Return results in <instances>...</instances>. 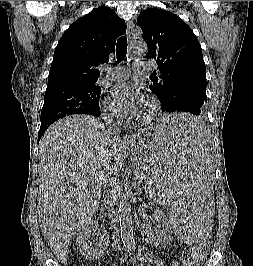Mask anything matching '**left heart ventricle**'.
I'll return each mask as SVG.
<instances>
[{
	"label": "left heart ventricle",
	"instance_id": "b2bd125f",
	"mask_svg": "<svg viewBox=\"0 0 253 266\" xmlns=\"http://www.w3.org/2000/svg\"><path fill=\"white\" fill-rule=\"evenodd\" d=\"M149 111H150V105L149 102L147 101L143 109L142 117L146 116L149 113Z\"/></svg>",
	"mask_w": 253,
	"mask_h": 266
}]
</instances>
